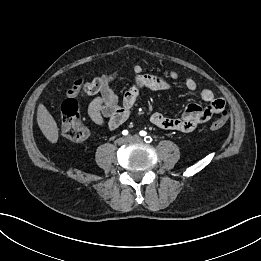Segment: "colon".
Masks as SVG:
<instances>
[{"instance_id":"5ec220e1","label":"colon","mask_w":261,"mask_h":261,"mask_svg":"<svg viewBox=\"0 0 261 261\" xmlns=\"http://www.w3.org/2000/svg\"><path fill=\"white\" fill-rule=\"evenodd\" d=\"M102 86V78L97 77L91 81L77 79L67 90L65 99L61 104V128L65 137L72 141H83L89 136V130L81 121L79 105L76 96L81 92L97 93ZM229 119V112L223 109L220 116L211 124L210 129L215 131L222 128Z\"/></svg>"}]
</instances>
